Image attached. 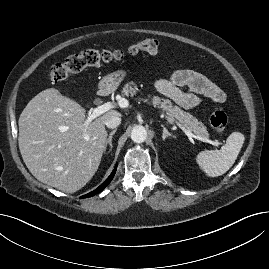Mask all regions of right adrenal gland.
Segmentation results:
<instances>
[{
	"mask_svg": "<svg viewBox=\"0 0 269 269\" xmlns=\"http://www.w3.org/2000/svg\"><path fill=\"white\" fill-rule=\"evenodd\" d=\"M116 131H117V129H114L112 132H110L109 137L106 140L105 149L109 145V151L108 152H110L112 150V147H113V145H112V137L116 133Z\"/></svg>",
	"mask_w": 269,
	"mask_h": 269,
	"instance_id": "right-adrenal-gland-1",
	"label": "right adrenal gland"
}]
</instances>
